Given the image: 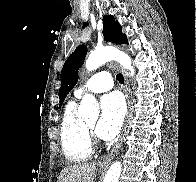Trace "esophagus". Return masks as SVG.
<instances>
[{
  "label": "esophagus",
  "instance_id": "obj_1",
  "mask_svg": "<svg viewBox=\"0 0 196 182\" xmlns=\"http://www.w3.org/2000/svg\"><path fill=\"white\" fill-rule=\"evenodd\" d=\"M122 73H123V76H124V91H125V96H126V99H127L128 111H127L126 119H125V122H124L123 129L121 131V136H120L119 141L113 147L111 153L105 159L99 161V163H98L99 167L107 166L111 162V160L113 159V157L115 156V154L117 153L118 149L121 146L122 139H123L124 134H125L126 129H127L128 119H129V116H130L131 101H130L129 83H128V79H127L126 72H125L124 69H122Z\"/></svg>",
  "mask_w": 196,
  "mask_h": 182
}]
</instances>
